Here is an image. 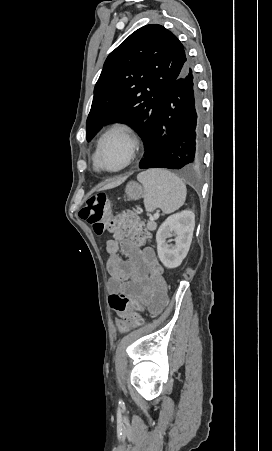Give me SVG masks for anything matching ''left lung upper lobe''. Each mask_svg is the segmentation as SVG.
<instances>
[{"label": "left lung upper lobe", "instance_id": "left-lung-upper-lobe-1", "mask_svg": "<svg viewBox=\"0 0 272 451\" xmlns=\"http://www.w3.org/2000/svg\"><path fill=\"white\" fill-rule=\"evenodd\" d=\"M187 58L176 36L161 25L133 32L107 57L86 122L89 141L112 122L136 126L149 146L162 103Z\"/></svg>", "mask_w": 272, "mask_h": 451}]
</instances>
